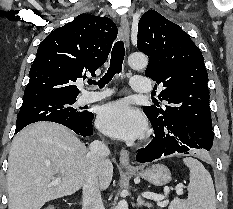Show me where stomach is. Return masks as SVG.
<instances>
[{
    "instance_id": "0dacf381",
    "label": "stomach",
    "mask_w": 233,
    "mask_h": 209,
    "mask_svg": "<svg viewBox=\"0 0 233 209\" xmlns=\"http://www.w3.org/2000/svg\"><path fill=\"white\" fill-rule=\"evenodd\" d=\"M136 176L143 178L155 186H163L171 180L169 169L162 164L152 165L145 170L137 172Z\"/></svg>"
}]
</instances>
